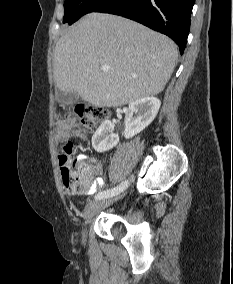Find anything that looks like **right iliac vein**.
Masks as SVG:
<instances>
[{
    "label": "right iliac vein",
    "mask_w": 233,
    "mask_h": 284,
    "mask_svg": "<svg viewBox=\"0 0 233 284\" xmlns=\"http://www.w3.org/2000/svg\"><path fill=\"white\" fill-rule=\"evenodd\" d=\"M128 193H129L128 189H123L122 193L116 194L114 196H109L107 198L96 199L90 202L85 208L84 219L86 221L90 220L95 214H97L100 210L105 208L107 205L122 198L124 194H128ZM82 235L84 239L86 235L85 229L83 230Z\"/></svg>",
    "instance_id": "obj_1"
}]
</instances>
